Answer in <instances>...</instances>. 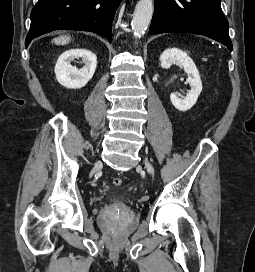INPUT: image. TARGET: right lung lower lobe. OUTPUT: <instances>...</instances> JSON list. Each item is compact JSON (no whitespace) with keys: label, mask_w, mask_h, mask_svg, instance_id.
I'll return each mask as SVG.
<instances>
[{"label":"right lung lower lobe","mask_w":255,"mask_h":272,"mask_svg":"<svg viewBox=\"0 0 255 272\" xmlns=\"http://www.w3.org/2000/svg\"><path fill=\"white\" fill-rule=\"evenodd\" d=\"M121 0H39L31 12L25 46L36 37L60 29L99 33L112 42V22Z\"/></svg>","instance_id":"98d812e1"}]
</instances>
